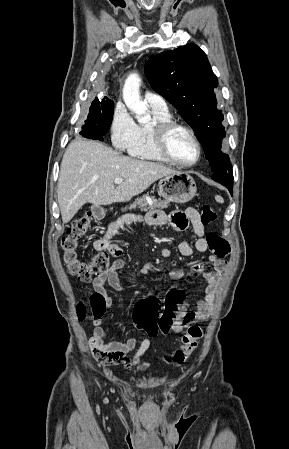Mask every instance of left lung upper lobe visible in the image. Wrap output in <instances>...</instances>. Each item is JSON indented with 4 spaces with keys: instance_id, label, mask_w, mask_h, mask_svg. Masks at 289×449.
Instances as JSON below:
<instances>
[{
    "instance_id": "obj_1",
    "label": "left lung upper lobe",
    "mask_w": 289,
    "mask_h": 449,
    "mask_svg": "<svg viewBox=\"0 0 289 449\" xmlns=\"http://www.w3.org/2000/svg\"><path fill=\"white\" fill-rule=\"evenodd\" d=\"M145 74L152 88L168 100L193 128L213 171L212 179L232 182L230 159L221 151L225 137L223 114L216 108L217 77L206 54L195 44L151 57Z\"/></svg>"
}]
</instances>
